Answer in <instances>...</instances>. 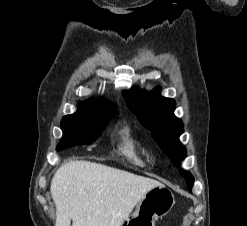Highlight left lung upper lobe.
I'll use <instances>...</instances> for the list:
<instances>
[{
    "label": "left lung upper lobe",
    "instance_id": "obj_1",
    "mask_svg": "<svg viewBox=\"0 0 247 226\" xmlns=\"http://www.w3.org/2000/svg\"><path fill=\"white\" fill-rule=\"evenodd\" d=\"M123 96L130 110L137 114L140 123L151 131L160 148L180 168V162L186 157V148L179 141L183 123L174 115L175 101L160 96L159 88L145 94L134 87L123 91ZM181 174L188 186L194 183V178L188 171L181 169Z\"/></svg>",
    "mask_w": 247,
    "mask_h": 226
}]
</instances>
